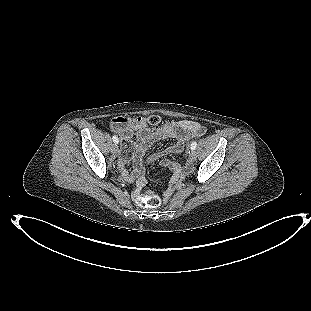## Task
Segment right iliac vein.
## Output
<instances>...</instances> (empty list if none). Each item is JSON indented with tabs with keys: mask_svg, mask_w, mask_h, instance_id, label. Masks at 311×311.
<instances>
[{
	"mask_svg": "<svg viewBox=\"0 0 311 311\" xmlns=\"http://www.w3.org/2000/svg\"><path fill=\"white\" fill-rule=\"evenodd\" d=\"M111 151L114 155H116L118 153V145L114 144L111 148Z\"/></svg>",
	"mask_w": 311,
	"mask_h": 311,
	"instance_id": "63e3f726",
	"label": "right iliac vein"
}]
</instances>
